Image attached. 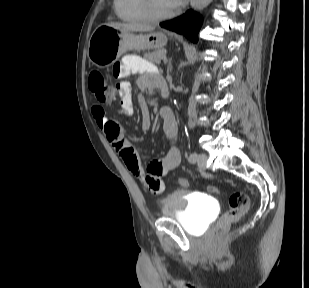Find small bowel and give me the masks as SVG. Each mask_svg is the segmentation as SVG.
Here are the masks:
<instances>
[{"label":"small bowel","mask_w":309,"mask_h":288,"mask_svg":"<svg viewBox=\"0 0 309 288\" xmlns=\"http://www.w3.org/2000/svg\"><path fill=\"white\" fill-rule=\"evenodd\" d=\"M132 73H139L138 86L142 90H156L161 87L162 77L156 73L155 67L137 55H126L120 63L113 68V75L122 79ZM114 98L120 99V113L132 115L134 113L133 98L130 85L121 81L115 93ZM139 105L142 115V124L144 129L150 127V118L148 109L144 101L139 98ZM93 117L102 130L112 148L119 154L126 169L135 177L139 178L147 189L153 194H160L164 190L163 177L175 170L181 160L180 152L175 146V139L178 134V125L174 112L169 108L161 110L163 119V128L171 145L167 153L159 160H154L145 167L134 148L132 142L127 139L121 126L106 116L102 106L92 107Z\"/></svg>","instance_id":"c3829d8e"}]
</instances>
